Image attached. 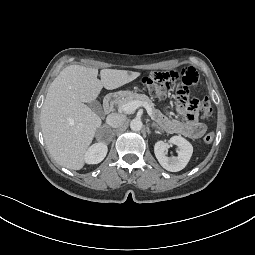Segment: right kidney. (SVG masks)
I'll return each mask as SVG.
<instances>
[{
  "mask_svg": "<svg viewBox=\"0 0 255 255\" xmlns=\"http://www.w3.org/2000/svg\"><path fill=\"white\" fill-rule=\"evenodd\" d=\"M108 152L107 145L103 142L93 144L85 153V162L87 164H98Z\"/></svg>",
  "mask_w": 255,
  "mask_h": 255,
  "instance_id": "1",
  "label": "right kidney"
}]
</instances>
